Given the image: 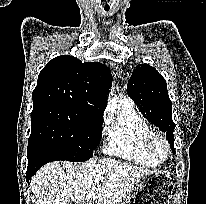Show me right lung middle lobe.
<instances>
[{
    "label": "right lung middle lobe",
    "instance_id": "right-lung-middle-lobe-1",
    "mask_svg": "<svg viewBox=\"0 0 206 204\" xmlns=\"http://www.w3.org/2000/svg\"><path fill=\"white\" fill-rule=\"evenodd\" d=\"M100 112L57 103L33 104L27 156L81 162L93 156L102 137Z\"/></svg>",
    "mask_w": 206,
    "mask_h": 204
}]
</instances>
